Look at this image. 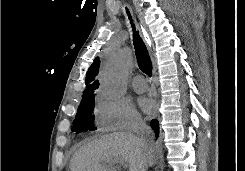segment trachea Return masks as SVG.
<instances>
[{
  "label": "trachea",
  "mask_w": 245,
  "mask_h": 171,
  "mask_svg": "<svg viewBox=\"0 0 245 171\" xmlns=\"http://www.w3.org/2000/svg\"><path fill=\"white\" fill-rule=\"evenodd\" d=\"M126 13L128 15V18L130 20L131 26L134 31L133 44L135 47V54H136L138 66L142 72H144L145 74L151 77L152 76V63H151V59L149 57L147 48L143 40L139 36L138 31H136L135 26L131 20V15L127 9H126Z\"/></svg>",
  "instance_id": "obj_1"
}]
</instances>
